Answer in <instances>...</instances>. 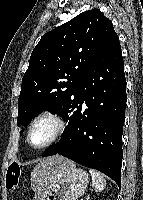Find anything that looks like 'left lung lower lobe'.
<instances>
[{
	"mask_svg": "<svg viewBox=\"0 0 143 200\" xmlns=\"http://www.w3.org/2000/svg\"><path fill=\"white\" fill-rule=\"evenodd\" d=\"M126 99L124 62L116 35L79 79L61 140L43 156L58 153L101 171L120 186Z\"/></svg>",
	"mask_w": 143,
	"mask_h": 200,
	"instance_id": "obj_1",
	"label": "left lung lower lobe"
}]
</instances>
